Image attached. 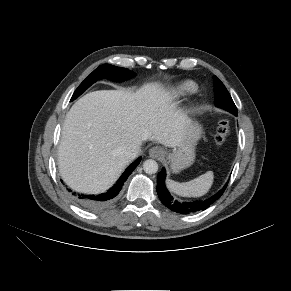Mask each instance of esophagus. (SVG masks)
I'll use <instances>...</instances> for the list:
<instances>
[{
  "label": "esophagus",
  "mask_w": 291,
  "mask_h": 291,
  "mask_svg": "<svg viewBox=\"0 0 291 291\" xmlns=\"http://www.w3.org/2000/svg\"><path fill=\"white\" fill-rule=\"evenodd\" d=\"M149 155L152 158H160L163 156V149L159 146H154L149 150Z\"/></svg>",
  "instance_id": "esophagus-1"
}]
</instances>
